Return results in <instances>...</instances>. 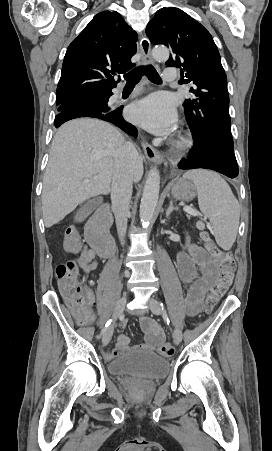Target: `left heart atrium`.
Segmentation results:
<instances>
[{"mask_svg": "<svg viewBox=\"0 0 272 451\" xmlns=\"http://www.w3.org/2000/svg\"><path fill=\"white\" fill-rule=\"evenodd\" d=\"M128 116L134 122L157 134L169 131L176 121L173 103L166 96L159 94L135 103L128 110Z\"/></svg>", "mask_w": 272, "mask_h": 451, "instance_id": "left-heart-atrium-1", "label": "left heart atrium"}]
</instances>
